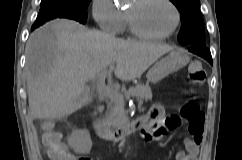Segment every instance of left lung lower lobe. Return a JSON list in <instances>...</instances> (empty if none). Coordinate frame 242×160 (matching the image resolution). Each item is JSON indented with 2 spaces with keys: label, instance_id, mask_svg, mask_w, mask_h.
<instances>
[{
  "label": "left lung lower lobe",
  "instance_id": "obj_1",
  "mask_svg": "<svg viewBox=\"0 0 242 160\" xmlns=\"http://www.w3.org/2000/svg\"><path fill=\"white\" fill-rule=\"evenodd\" d=\"M188 49L190 52H193L205 60H207L209 63L212 64V57L209 49L205 46V44H194L191 46H188Z\"/></svg>",
  "mask_w": 242,
  "mask_h": 160
}]
</instances>
